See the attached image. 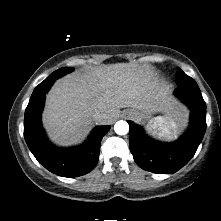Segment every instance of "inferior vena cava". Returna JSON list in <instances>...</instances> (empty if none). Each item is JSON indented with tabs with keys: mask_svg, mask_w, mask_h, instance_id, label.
<instances>
[{
	"mask_svg": "<svg viewBox=\"0 0 221 221\" xmlns=\"http://www.w3.org/2000/svg\"><path fill=\"white\" fill-rule=\"evenodd\" d=\"M106 118V114L105 113H101V112H96L93 115V119L97 122H101L102 120H104Z\"/></svg>",
	"mask_w": 221,
	"mask_h": 221,
	"instance_id": "602c4592",
	"label": "inferior vena cava"
}]
</instances>
